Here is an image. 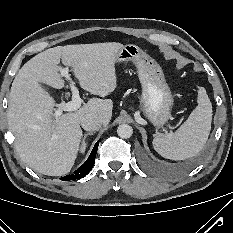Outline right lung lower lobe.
<instances>
[{"instance_id": "obj_1", "label": "right lung lower lobe", "mask_w": 233, "mask_h": 233, "mask_svg": "<svg viewBox=\"0 0 233 233\" xmlns=\"http://www.w3.org/2000/svg\"><path fill=\"white\" fill-rule=\"evenodd\" d=\"M98 145L99 142L95 144L90 156L80 168H78L73 174L62 177L61 180L69 181L85 177L94 166Z\"/></svg>"}]
</instances>
